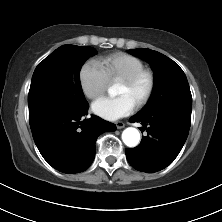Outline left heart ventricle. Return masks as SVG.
I'll use <instances>...</instances> for the list:
<instances>
[{"instance_id": "left-heart-ventricle-1", "label": "left heart ventricle", "mask_w": 222, "mask_h": 222, "mask_svg": "<svg viewBox=\"0 0 222 222\" xmlns=\"http://www.w3.org/2000/svg\"><path fill=\"white\" fill-rule=\"evenodd\" d=\"M145 88H146L145 81H141L134 88H129L128 86L120 82L116 94L119 96L127 95L134 101V103H136V101L144 93Z\"/></svg>"}]
</instances>
